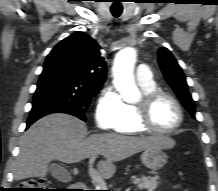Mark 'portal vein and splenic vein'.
I'll list each match as a JSON object with an SVG mask.
<instances>
[{"label":"portal vein and splenic vein","instance_id":"18ae733b","mask_svg":"<svg viewBox=\"0 0 218 191\" xmlns=\"http://www.w3.org/2000/svg\"><path fill=\"white\" fill-rule=\"evenodd\" d=\"M95 159H96L95 156H92V157L90 158V161H89V169H88L89 175L91 176L92 180L98 184L99 188H102V190H106L107 186H106V183H105L104 179L102 178V176L100 175V173L97 172V171L93 168V166H92V164H93V162L95 161Z\"/></svg>","mask_w":218,"mask_h":191}]
</instances>
